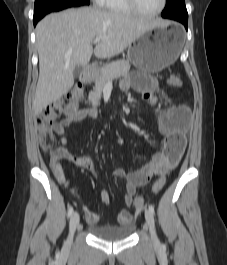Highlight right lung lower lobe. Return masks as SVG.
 I'll return each mask as SVG.
<instances>
[{"label": "right lung lower lobe", "mask_w": 227, "mask_h": 265, "mask_svg": "<svg viewBox=\"0 0 227 265\" xmlns=\"http://www.w3.org/2000/svg\"><path fill=\"white\" fill-rule=\"evenodd\" d=\"M38 21H39V20H37V19H33L34 25H36V23H37Z\"/></svg>", "instance_id": "right-lung-lower-lobe-1"}]
</instances>
